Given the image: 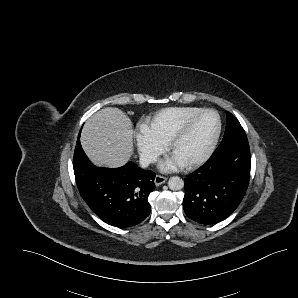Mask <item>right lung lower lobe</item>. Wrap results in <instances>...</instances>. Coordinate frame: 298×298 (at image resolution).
I'll return each mask as SVG.
<instances>
[{
    "label": "right lung lower lobe",
    "instance_id": "obj_1",
    "mask_svg": "<svg viewBox=\"0 0 298 298\" xmlns=\"http://www.w3.org/2000/svg\"><path fill=\"white\" fill-rule=\"evenodd\" d=\"M75 147L73 167L79 192L89 207L106 223L126 228L150 214L149 194L155 189V173L133 162L120 168H97L81 144Z\"/></svg>",
    "mask_w": 298,
    "mask_h": 298
}]
</instances>
